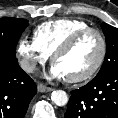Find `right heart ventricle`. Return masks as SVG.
I'll return each instance as SVG.
<instances>
[{"label":"right heart ventricle","instance_id":"obj_1","mask_svg":"<svg viewBox=\"0 0 118 118\" xmlns=\"http://www.w3.org/2000/svg\"><path fill=\"white\" fill-rule=\"evenodd\" d=\"M90 27L89 24L77 18H61L40 24L34 31V39L50 56L74 33Z\"/></svg>","mask_w":118,"mask_h":118}]
</instances>
